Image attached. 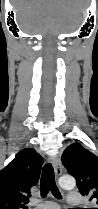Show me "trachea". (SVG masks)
<instances>
[{"label": "trachea", "instance_id": "1", "mask_svg": "<svg viewBox=\"0 0 98 209\" xmlns=\"http://www.w3.org/2000/svg\"><path fill=\"white\" fill-rule=\"evenodd\" d=\"M41 196L45 197L50 191L56 198H61V194L56 186L54 170L51 164L43 167L40 181Z\"/></svg>", "mask_w": 98, "mask_h": 209}]
</instances>
